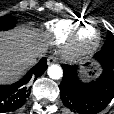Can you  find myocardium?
<instances>
[{
	"label": "myocardium",
	"instance_id": "myocardium-1",
	"mask_svg": "<svg viewBox=\"0 0 114 114\" xmlns=\"http://www.w3.org/2000/svg\"><path fill=\"white\" fill-rule=\"evenodd\" d=\"M85 25H91L95 31L94 38L87 42L82 41L80 38V31ZM100 39V31L94 22H81L73 29L68 38V52L73 58L85 57L91 54L98 47Z\"/></svg>",
	"mask_w": 114,
	"mask_h": 114
}]
</instances>
